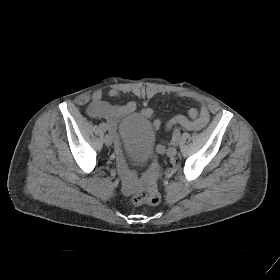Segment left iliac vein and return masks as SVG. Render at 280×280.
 <instances>
[{
  "label": "left iliac vein",
  "instance_id": "obj_1",
  "mask_svg": "<svg viewBox=\"0 0 280 280\" xmlns=\"http://www.w3.org/2000/svg\"><path fill=\"white\" fill-rule=\"evenodd\" d=\"M177 154V150L175 147H169L168 150H167V155L172 158L174 156H176Z\"/></svg>",
  "mask_w": 280,
  "mask_h": 280
}]
</instances>
